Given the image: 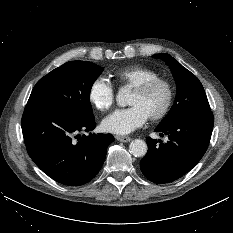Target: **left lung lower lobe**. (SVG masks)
Wrapping results in <instances>:
<instances>
[{
    "label": "left lung lower lobe",
    "mask_w": 233,
    "mask_h": 233,
    "mask_svg": "<svg viewBox=\"0 0 233 233\" xmlns=\"http://www.w3.org/2000/svg\"><path fill=\"white\" fill-rule=\"evenodd\" d=\"M212 112H195L178 121L158 126L155 131L168 136L161 144L147 138L148 152L140 162L142 173L155 183H169L190 171L203 157L213 130Z\"/></svg>",
    "instance_id": "0a47b994"
}]
</instances>
